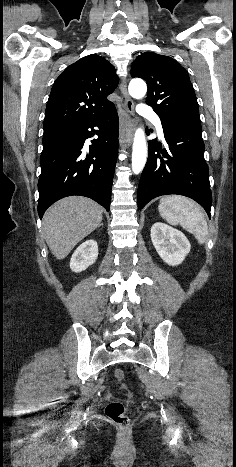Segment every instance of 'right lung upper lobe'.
I'll list each match as a JSON object with an SVG mask.
<instances>
[{"label":"right lung upper lobe","mask_w":236,"mask_h":467,"mask_svg":"<svg viewBox=\"0 0 236 467\" xmlns=\"http://www.w3.org/2000/svg\"><path fill=\"white\" fill-rule=\"evenodd\" d=\"M118 82L114 66L95 54L68 66L51 89L44 135L83 125L114 107L107 96Z\"/></svg>","instance_id":"cb5924a9"}]
</instances>
